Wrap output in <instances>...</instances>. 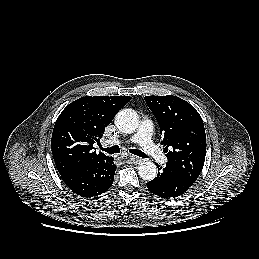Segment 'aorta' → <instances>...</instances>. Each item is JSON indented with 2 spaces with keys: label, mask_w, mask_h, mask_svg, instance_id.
Returning a JSON list of instances; mask_svg holds the SVG:
<instances>
[{
  "label": "aorta",
  "mask_w": 259,
  "mask_h": 259,
  "mask_svg": "<svg viewBox=\"0 0 259 259\" xmlns=\"http://www.w3.org/2000/svg\"><path fill=\"white\" fill-rule=\"evenodd\" d=\"M115 125L119 131L131 134L138 126V115L132 109H123L115 116ZM138 174L143 180L151 181L157 176V167L151 161H144L138 166Z\"/></svg>",
  "instance_id": "1"
}]
</instances>
